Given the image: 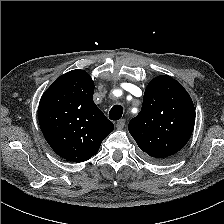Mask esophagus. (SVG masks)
I'll return each mask as SVG.
<instances>
[{
    "mask_svg": "<svg viewBox=\"0 0 224 224\" xmlns=\"http://www.w3.org/2000/svg\"><path fill=\"white\" fill-rule=\"evenodd\" d=\"M124 126H125V120H124V119H121V120H119V121L116 123V128H117L118 130L123 129Z\"/></svg>",
    "mask_w": 224,
    "mask_h": 224,
    "instance_id": "obj_1",
    "label": "esophagus"
}]
</instances>
